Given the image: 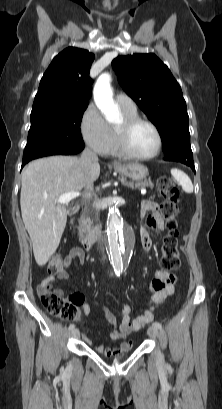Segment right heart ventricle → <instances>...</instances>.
<instances>
[{"label":"right heart ventricle","mask_w":222,"mask_h":409,"mask_svg":"<svg viewBox=\"0 0 222 409\" xmlns=\"http://www.w3.org/2000/svg\"><path fill=\"white\" fill-rule=\"evenodd\" d=\"M122 112L124 114L125 117H136L137 116V111H128L125 109H122ZM112 130V134H113V141L111 146L109 147V149L107 150V154H113V155H119L121 152L119 151V148L117 146V140H116V132L114 128H111Z\"/></svg>","instance_id":"1"}]
</instances>
